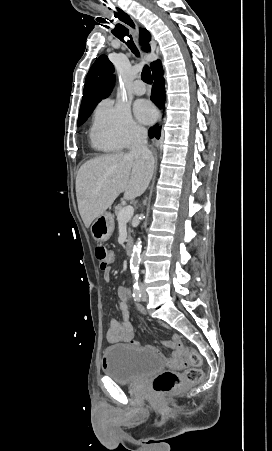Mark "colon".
I'll list each match as a JSON object with an SVG mask.
<instances>
[{"mask_svg": "<svg viewBox=\"0 0 272 451\" xmlns=\"http://www.w3.org/2000/svg\"><path fill=\"white\" fill-rule=\"evenodd\" d=\"M95 254L101 270H105L111 263V253L105 247L97 246ZM173 359L175 370H164L153 379L152 386L157 393L168 394L179 386H189L202 379L200 365H194V363H200V358L195 351L187 346H181Z\"/></svg>", "mask_w": 272, "mask_h": 451, "instance_id": "colon-1", "label": "colon"}]
</instances>
